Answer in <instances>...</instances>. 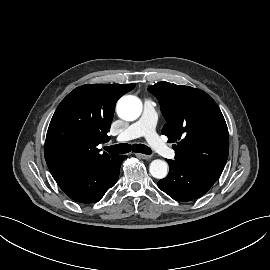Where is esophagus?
I'll return each mask as SVG.
<instances>
[{
    "mask_svg": "<svg viewBox=\"0 0 270 270\" xmlns=\"http://www.w3.org/2000/svg\"><path fill=\"white\" fill-rule=\"evenodd\" d=\"M135 155L141 159L144 160H150L151 159V155H146V154H141V153H135Z\"/></svg>",
    "mask_w": 270,
    "mask_h": 270,
    "instance_id": "esophagus-1",
    "label": "esophagus"
}]
</instances>
